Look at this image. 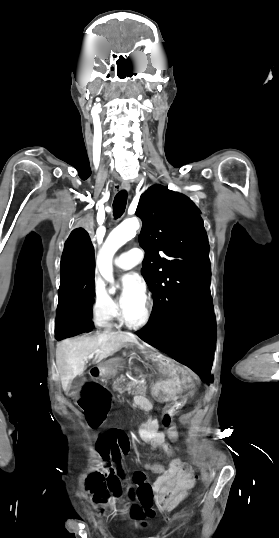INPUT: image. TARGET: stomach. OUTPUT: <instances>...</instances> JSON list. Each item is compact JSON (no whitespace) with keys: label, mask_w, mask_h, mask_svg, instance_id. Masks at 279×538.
<instances>
[{"label":"stomach","mask_w":279,"mask_h":538,"mask_svg":"<svg viewBox=\"0 0 279 538\" xmlns=\"http://www.w3.org/2000/svg\"><path fill=\"white\" fill-rule=\"evenodd\" d=\"M151 360L153 364H164L166 362V355L164 353H153ZM161 378L157 379L154 386L151 387V394H155L156 399L165 400V405L168 402L176 399L178 386L172 380L168 378H175L178 385L183 388L178 389L179 395H184L185 391L192 393V386L189 380H186L189 371L187 367H184L183 363H171L170 367H165ZM163 391V392H162Z\"/></svg>","instance_id":"stomach-1"}]
</instances>
